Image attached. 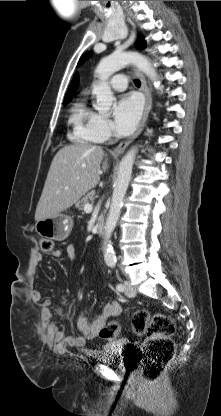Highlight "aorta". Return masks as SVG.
Listing matches in <instances>:
<instances>
[{
    "instance_id": "762f6f07",
    "label": "aorta",
    "mask_w": 221,
    "mask_h": 416,
    "mask_svg": "<svg viewBox=\"0 0 221 416\" xmlns=\"http://www.w3.org/2000/svg\"><path fill=\"white\" fill-rule=\"evenodd\" d=\"M130 63L134 64L143 72L154 85L158 86L160 84L156 70L145 56L137 52H115L103 58L95 70L99 82L93 86L92 92L96 95L95 109L100 113H107L114 100L113 93L107 82L108 78L123 66ZM137 151V146L132 147L119 164L118 176L114 184L112 201L105 223L103 237L104 261L108 266H114L116 263V256L110 239L120 217L123 200L131 180Z\"/></svg>"
}]
</instances>
